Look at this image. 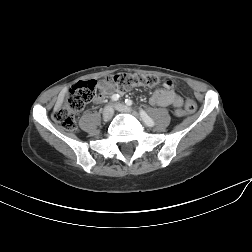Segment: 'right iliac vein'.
Segmentation results:
<instances>
[{"label": "right iliac vein", "mask_w": 252, "mask_h": 252, "mask_svg": "<svg viewBox=\"0 0 252 252\" xmlns=\"http://www.w3.org/2000/svg\"><path fill=\"white\" fill-rule=\"evenodd\" d=\"M114 110L111 105H108L103 110V121H109L113 116Z\"/></svg>", "instance_id": "right-iliac-vein-1"}]
</instances>
